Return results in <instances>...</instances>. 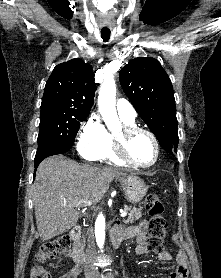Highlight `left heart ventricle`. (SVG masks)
I'll use <instances>...</instances> for the list:
<instances>
[{"mask_svg": "<svg viewBox=\"0 0 221 278\" xmlns=\"http://www.w3.org/2000/svg\"><path fill=\"white\" fill-rule=\"evenodd\" d=\"M122 131L116 134L120 136ZM127 156L135 163L147 165L153 162L155 158V148L151 138L139 132L128 139L126 146Z\"/></svg>", "mask_w": 221, "mask_h": 278, "instance_id": "b2bd125f", "label": "left heart ventricle"}]
</instances>
